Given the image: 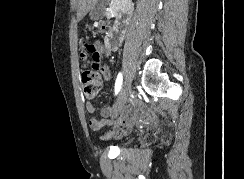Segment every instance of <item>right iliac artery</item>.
Listing matches in <instances>:
<instances>
[{"label":"right iliac artery","mask_w":244,"mask_h":179,"mask_svg":"<svg viewBox=\"0 0 244 179\" xmlns=\"http://www.w3.org/2000/svg\"><path fill=\"white\" fill-rule=\"evenodd\" d=\"M122 81H123V77L122 74L119 73L116 79V83H115V94H118V92L121 89V85H122Z\"/></svg>","instance_id":"82829eb1"}]
</instances>
